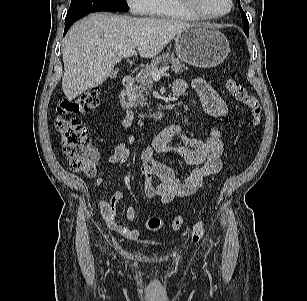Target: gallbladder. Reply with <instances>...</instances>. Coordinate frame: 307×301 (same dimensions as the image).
<instances>
[{
  "label": "gallbladder",
  "instance_id": "gallbladder-1",
  "mask_svg": "<svg viewBox=\"0 0 307 301\" xmlns=\"http://www.w3.org/2000/svg\"><path fill=\"white\" fill-rule=\"evenodd\" d=\"M111 78H115L117 76V71L114 70L111 72V74L109 75Z\"/></svg>",
  "mask_w": 307,
  "mask_h": 301
}]
</instances>
